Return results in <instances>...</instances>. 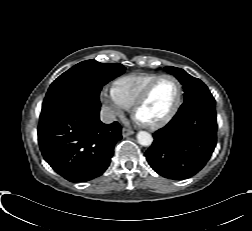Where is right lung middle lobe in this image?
<instances>
[{"label": "right lung middle lobe", "mask_w": 252, "mask_h": 231, "mask_svg": "<svg viewBox=\"0 0 252 231\" xmlns=\"http://www.w3.org/2000/svg\"><path fill=\"white\" fill-rule=\"evenodd\" d=\"M124 71L125 67L119 63L83 61L60 75L51 84L42 109L67 100L84 101L99 106L102 87Z\"/></svg>", "instance_id": "obj_1"}]
</instances>
